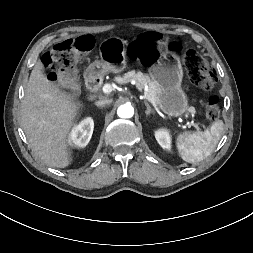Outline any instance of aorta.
<instances>
[{"mask_svg": "<svg viewBox=\"0 0 253 253\" xmlns=\"http://www.w3.org/2000/svg\"><path fill=\"white\" fill-rule=\"evenodd\" d=\"M117 114L120 118H131L134 115V108L131 104H123L119 106Z\"/></svg>", "mask_w": 253, "mask_h": 253, "instance_id": "aorta-1", "label": "aorta"}]
</instances>
